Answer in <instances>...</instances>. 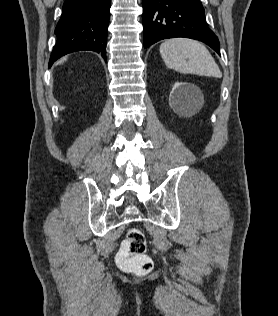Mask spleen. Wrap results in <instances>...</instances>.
I'll use <instances>...</instances> for the list:
<instances>
[{
	"instance_id": "obj_1",
	"label": "spleen",
	"mask_w": 278,
	"mask_h": 316,
	"mask_svg": "<svg viewBox=\"0 0 278 316\" xmlns=\"http://www.w3.org/2000/svg\"><path fill=\"white\" fill-rule=\"evenodd\" d=\"M160 54L167 67L181 73L222 77L208 49L187 38L168 39L160 45Z\"/></svg>"
}]
</instances>
